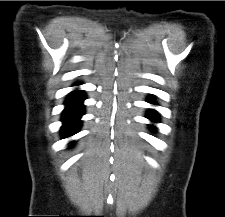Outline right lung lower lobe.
I'll return each instance as SVG.
<instances>
[{
    "instance_id": "right-lung-lower-lobe-1",
    "label": "right lung lower lobe",
    "mask_w": 225,
    "mask_h": 217,
    "mask_svg": "<svg viewBox=\"0 0 225 217\" xmlns=\"http://www.w3.org/2000/svg\"><path fill=\"white\" fill-rule=\"evenodd\" d=\"M85 98V94L81 90H74L68 95L65 101L66 107L62 115L63 126L61 133L64 138L70 137L78 132L81 126L80 118L84 114V105L82 102Z\"/></svg>"
}]
</instances>
